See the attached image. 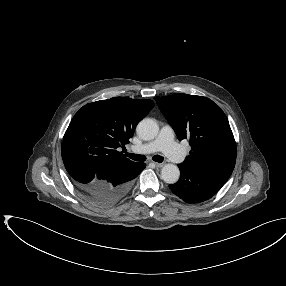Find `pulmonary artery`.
Wrapping results in <instances>:
<instances>
[{"label": "pulmonary artery", "instance_id": "1", "mask_svg": "<svg viewBox=\"0 0 286 286\" xmlns=\"http://www.w3.org/2000/svg\"><path fill=\"white\" fill-rule=\"evenodd\" d=\"M132 150L139 154L162 151L173 160H179L182 157V151L175 142V132L169 125L161 128L155 140L139 146H133Z\"/></svg>", "mask_w": 286, "mask_h": 286}]
</instances>
